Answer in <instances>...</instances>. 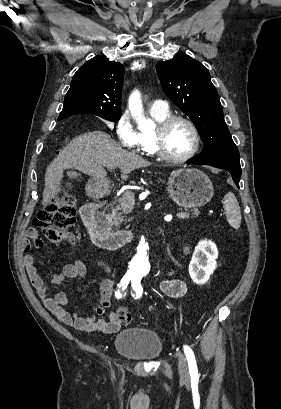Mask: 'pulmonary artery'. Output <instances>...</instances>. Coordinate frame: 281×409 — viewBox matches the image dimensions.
Returning <instances> with one entry per match:
<instances>
[{
  "instance_id": "pulmonary-artery-1",
  "label": "pulmonary artery",
  "mask_w": 281,
  "mask_h": 409,
  "mask_svg": "<svg viewBox=\"0 0 281 409\" xmlns=\"http://www.w3.org/2000/svg\"><path fill=\"white\" fill-rule=\"evenodd\" d=\"M153 111H167V104L163 97H158L152 104Z\"/></svg>"
}]
</instances>
